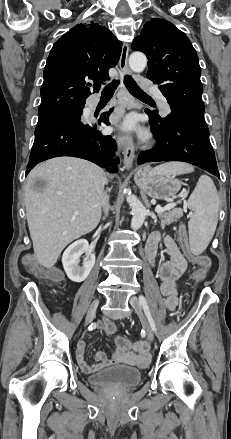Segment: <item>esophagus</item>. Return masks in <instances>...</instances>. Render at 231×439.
Here are the masks:
<instances>
[{"instance_id": "esophagus-1", "label": "esophagus", "mask_w": 231, "mask_h": 439, "mask_svg": "<svg viewBox=\"0 0 231 439\" xmlns=\"http://www.w3.org/2000/svg\"><path fill=\"white\" fill-rule=\"evenodd\" d=\"M128 54H129V45L127 43H124L119 60V67L124 74H131V71L128 66ZM117 143L123 146L124 166L127 169H130L132 167V163L134 159V144L132 138L128 134H118Z\"/></svg>"}]
</instances>
